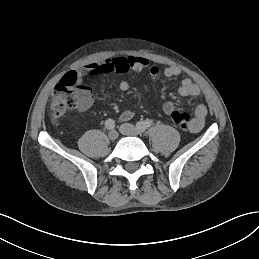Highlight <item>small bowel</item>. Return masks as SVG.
<instances>
[{"label": "small bowel", "mask_w": 259, "mask_h": 259, "mask_svg": "<svg viewBox=\"0 0 259 259\" xmlns=\"http://www.w3.org/2000/svg\"><path fill=\"white\" fill-rule=\"evenodd\" d=\"M129 70H146L152 78H156L160 74V70L157 66L150 65L148 59L138 56L107 58L102 61L89 63L82 69L74 72L77 76L78 82L80 83L83 79L91 76L109 72L122 73ZM163 74L166 77H177L181 74V70L175 66H168L163 70ZM129 87V83L126 81H122L119 84V89L123 92L127 91ZM178 92L183 97H197L200 94V89L190 79L185 78L181 81ZM174 109L175 106L171 101H167L163 104V111L166 114H171ZM207 112V108L203 104H200L195 108L194 117L191 119L190 125L188 127L191 132L197 133L202 130L205 124ZM133 115L134 113L131 110H126L121 114L120 119L122 121H127L130 120Z\"/></svg>", "instance_id": "small-bowel-1"}]
</instances>
